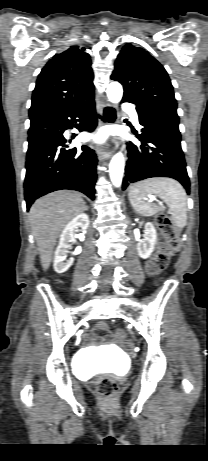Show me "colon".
<instances>
[{"instance_id":"5ec220e1","label":"colon","mask_w":208,"mask_h":461,"mask_svg":"<svg viewBox=\"0 0 208 461\" xmlns=\"http://www.w3.org/2000/svg\"><path fill=\"white\" fill-rule=\"evenodd\" d=\"M155 224L165 239V242L160 246L156 255L149 262L150 268L154 271H158L166 266L172 253L179 247L180 237L177 227L168 215H157ZM115 336L120 340L125 339V334L121 329L115 331ZM117 388V382L108 376L99 378L95 385L97 394L104 400L112 398Z\"/></svg>"}]
</instances>
